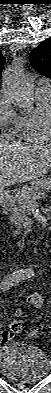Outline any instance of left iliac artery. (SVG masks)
<instances>
[{
	"label": "left iliac artery",
	"mask_w": 51,
	"mask_h": 393,
	"mask_svg": "<svg viewBox=\"0 0 51 393\" xmlns=\"http://www.w3.org/2000/svg\"><path fill=\"white\" fill-rule=\"evenodd\" d=\"M31 276H33V273L29 274V275H28V278H30Z\"/></svg>",
	"instance_id": "left-iliac-artery-1"
}]
</instances>
